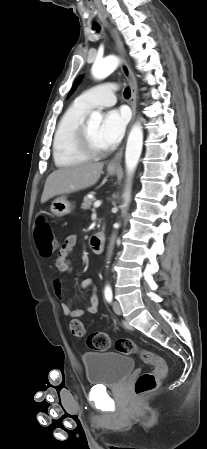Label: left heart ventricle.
Here are the masks:
<instances>
[{"label":"left heart ventricle","mask_w":207,"mask_h":449,"mask_svg":"<svg viewBox=\"0 0 207 449\" xmlns=\"http://www.w3.org/2000/svg\"><path fill=\"white\" fill-rule=\"evenodd\" d=\"M89 138L92 144L97 148H106L99 136L100 123H86Z\"/></svg>","instance_id":"b2bd125f"}]
</instances>
